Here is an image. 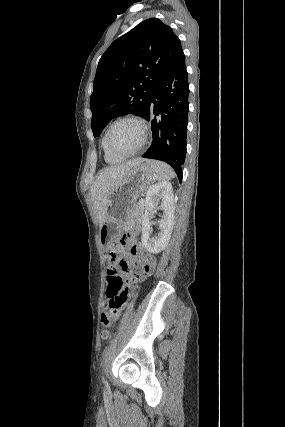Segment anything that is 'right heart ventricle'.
<instances>
[{"instance_id":"right-heart-ventricle-1","label":"right heart ventricle","mask_w":285,"mask_h":427,"mask_svg":"<svg viewBox=\"0 0 285 427\" xmlns=\"http://www.w3.org/2000/svg\"><path fill=\"white\" fill-rule=\"evenodd\" d=\"M101 147L104 153V159L107 163L110 164H115V163H119L121 161L124 160L123 157L117 156L115 154H112L106 147L105 144V134H103L102 138H101Z\"/></svg>"}]
</instances>
